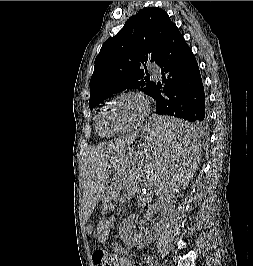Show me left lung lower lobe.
Segmentation results:
<instances>
[{"mask_svg": "<svg viewBox=\"0 0 253 266\" xmlns=\"http://www.w3.org/2000/svg\"><path fill=\"white\" fill-rule=\"evenodd\" d=\"M156 63L164 83L153 89L156 113L180 120L171 126H156L154 131L172 141H194L208 124L205 93L195 56L177 26Z\"/></svg>", "mask_w": 253, "mask_h": 266, "instance_id": "left-lung-lower-lobe-1", "label": "left lung lower lobe"}]
</instances>
